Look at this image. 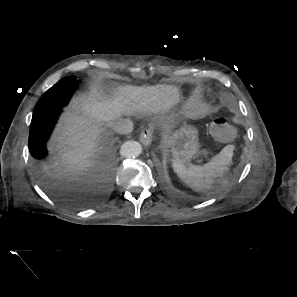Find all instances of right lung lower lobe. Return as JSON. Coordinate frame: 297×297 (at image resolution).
<instances>
[{
  "label": "right lung lower lobe",
  "instance_id": "obj_1",
  "mask_svg": "<svg viewBox=\"0 0 297 297\" xmlns=\"http://www.w3.org/2000/svg\"><path fill=\"white\" fill-rule=\"evenodd\" d=\"M71 97L66 98L49 112L44 118L32 119L29 133V150L31 156L36 161H44L48 157L46 143L54 129L63 107H65Z\"/></svg>",
  "mask_w": 297,
  "mask_h": 297
}]
</instances>
